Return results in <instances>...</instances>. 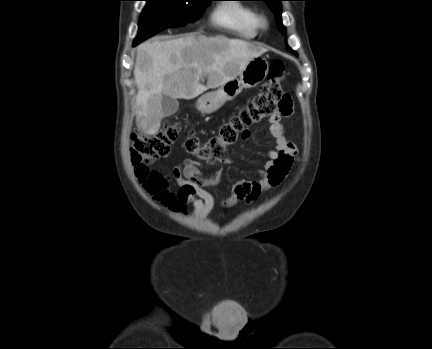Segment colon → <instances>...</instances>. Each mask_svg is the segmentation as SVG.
<instances>
[{"label": "colon", "mask_w": 432, "mask_h": 349, "mask_svg": "<svg viewBox=\"0 0 432 349\" xmlns=\"http://www.w3.org/2000/svg\"><path fill=\"white\" fill-rule=\"evenodd\" d=\"M283 61L275 59L271 62L267 81L260 92L237 112L231 114L218 128L216 134L205 142H201L193 131L187 133L185 150L198 159L214 163L222 160L229 146L239 138H246L248 128L277 112H287L291 108L290 95L283 90L285 77ZM180 123H166L163 128L153 134H134L132 136L131 159L135 174L144 188L167 206L179 209L181 204L170 191L169 178L149 166L156 160L165 157L171 145L178 139L181 132Z\"/></svg>", "instance_id": "obj_1"}]
</instances>
